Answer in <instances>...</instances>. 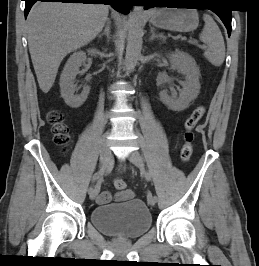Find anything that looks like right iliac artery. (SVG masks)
<instances>
[{
	"mask_svg": "<svg viewBox=\"0 0 259 266\" xmlns=\"http://www.w3.org/2000/svg\"><path fill=\"white\" fill-rule=\"evenodd\" d=\"M102 173H103L102 170L96 172L93 175V181H96L97 179H99V177L102 175ZM92 185H94V182H91V185H89V188H87V192H91L92 191ZM97 185H100V184H97Z\"/></svg>",
	"mask_w": 259,
	"mask_h": 266,
	"instance_id": "right-iliac-artery-1",
	"label": "right iliac artery"
}]
</instances>
